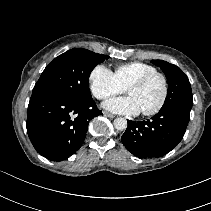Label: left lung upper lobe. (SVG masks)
I'll return each instance as SVG.
<instances>
[{"label":"left lung upper lobe","mask_w":211,"mask_h":211,"mask_svg":"<svg viewBox=\"0 0 211 211\" xmlns=\"http://www.w3.org/2000/svg\"><path fill=\"white\" fill-rule=\"evenodd\" d=\"M151 62L163 70L168 81V94L162 108L179 106L191 110L193 105L191 86L183 71L176 65L163 60Z\"/></svg>","instance_id":"5c2ea615"}]
</instances>
